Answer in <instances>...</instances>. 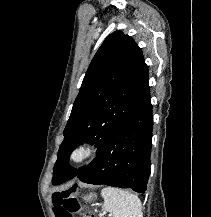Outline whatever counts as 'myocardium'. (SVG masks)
Returning a JSON list of instances; mask_svg holds the SVG:
<instances>
[{
	"label": "myocardium",
	"mask_w": 211,
	"mask_h": 217,
	"mask_svg": "<svg viewBox=\"0 0 211 217\" xmlns=\"http://www.w3.org/2000/svg\"><path fill=\"white\" fill-rule=\"evenodd\" d=\"M98 147L93 142H81L74 146L69 154V160L73 165H82L97 154Z\"/></svg>",
	"instance_id": "obj_1"
}]
</instances>
